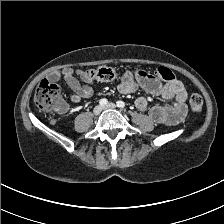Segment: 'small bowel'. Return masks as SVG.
<instances>
[{"label": "small bowel", "mask_w": 224, "mask_h": 224, "mask_svg": "<svg viewBox=\"0 0 224 224\" xmlns=\"http://www.w3.org/2000/svg\"><path fill=\"white\" fill-rule=\"evenodd\" d=\"M64 79L68 87L73 91L70 100L74 103L83 98H89L93 95V83L87 74L79 69L67 67L62 71L51 73L50 80L57 82ZM85 82L82 83L81 81ZM142 88L152 96H159L164 101H172L170 105H155L149 107L146 97H139L136 100V107L140 111H148L150 119L155 123L166 125L179 124L186 116L187 91L183 83L177 79L161 85L153 76L144 71L129 72L123 76L118 84L121 93L129 94Z\"/></svg>", "instance_id": "c3829d8e"}]
</instances>
